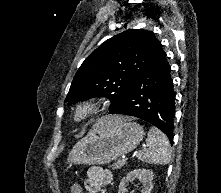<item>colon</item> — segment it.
<instances>
[{
    "label": "colon",
    "instance_id": "5ec220e1",
    "mask_svg": "<svg viewBox=\"0 0 221 193\" xmlns=\"http://www.w3.org/2000/svg\"><path fill=\"white\" fill-rule=\"evenodd\" d=\"M72 189L76 191V193H81V185L79 183H74L72 185V188H71V193H72Z\"/></svg>",
    "mask_w": 221,
    "mask_h": 193
}]
</instances>
